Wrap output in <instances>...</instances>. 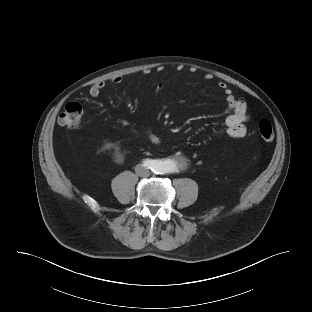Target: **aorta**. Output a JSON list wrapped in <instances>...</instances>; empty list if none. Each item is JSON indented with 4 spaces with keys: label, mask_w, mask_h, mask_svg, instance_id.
<instances>
[{
    "label": "aorta",
    "mask_w": 312,
    "mask_h": 312,
    "mask_svg": "<svg viewBox=\"0 0 312 312\" xmlns=\"http://www.w3.org/2000/svg\"><path fill=\"white\" fill-rule=\"evenodd\" d=\"M178 167V163L173 159H166L162 162V170L164 172H174Z\"/></svg>",
    "instance_id": "obj_1"
}]
</instances>
